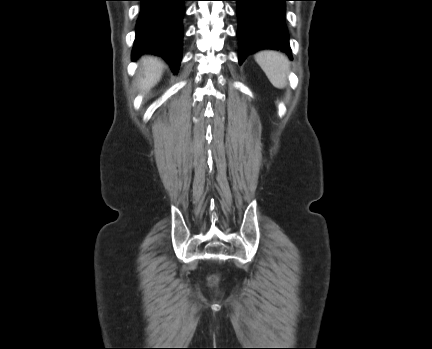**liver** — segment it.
<instances>
[{"label": "liver", "instance_id": "6515ba94", "mask_svg": "<svg viewBox=\"0 0 432 349\" xmlns=\"http://www.w3.org/2000/svg\"><path fill=\"white\" fill-rule=\"evenodd\" d=\"M163 67L164 63L160 58L142 57L138 69L139 88L147 91L155 86L161 78Z\"/></svg>", "mask_w": 432, "mask_h": 349}]
</instances>
